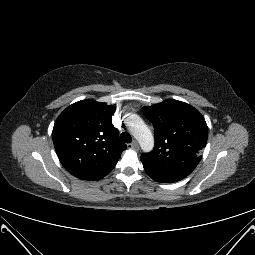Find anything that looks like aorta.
Instances as JSON below:
<instances>
[{
  "label": "aorta",
  "instance_id": "obj_1",
  "mask_svg": "<svg viewBox=\"0 0 255 255\" xmlns=\"http://www.w3.org/2000/svg\"><path fill=\"white\" fill-rule=\"evenodd\" d=\"M125 120L129 131L139 142L142 150L151 151L154 147V137L144 121L136 114H127Z\"/></svg>",
  "mask_w": 255,
  "mask_h": 255
}]
</instances>
